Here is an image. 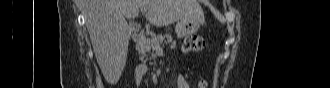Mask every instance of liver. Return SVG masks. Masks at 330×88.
I'll use <instances>...</instances> for the list:
<instances>
[{
	"mask_svg": "<svg viewBox=\"0 0 330 88\" xmlns=\"http://www.w3.org/2000/svg\"><path fill=\"white\" fill-rule=\"evenodd\" d=\"M84 15L93 51L107 82H118L127 59L132 29L126 18L146 9V19L162 27L183 18H201L197 0H84Z\"/></svg>",
	"mask_w": 330,
	"mask_h": 88,
	"instance_id": "6515ba94",
	"label": "liver"
}]
</instances>
